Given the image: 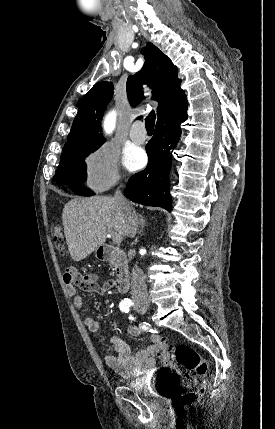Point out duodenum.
<instances>
[{
  "mask_svg": "<svg viewBox=\"0 0 275 429\" xmlns=\"http://www.w3.org/2000/svg\"><path fill=\"white\" fill-rule=\"evenodd\" d=\"M97 254L102 261H109L114 265L116 271L115 288L119 292L127 291L130 283V274L125 252L109 245H102L98 248Z\"/></svg>",
  "mask_w": 275,
  "mask_h": 429,
  "instance_id": "410a0bca",
  "label": "duodenum"
}]
</instances>
